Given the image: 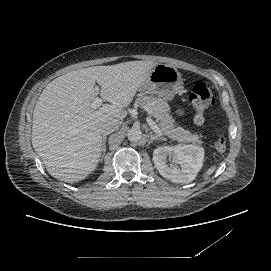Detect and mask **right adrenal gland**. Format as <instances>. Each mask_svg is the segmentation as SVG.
I'll return each mask as SVG.
<instances>
[{
    "mask_svg": "<svg viewBox=\"0 0 271 271\" xmlns=\"http://www.w3.org/2000/svg\"><path fill=\"white\" fill-rule=\"evenodd\" d=\"M106 139H107V136H104L103 139H102V149H103V155H105V152H106Z\"/></svg>",
    "mask_w": 271,
    "mask_h": 271,
    "instance_id": "2a0ac1e0",
    "label": "right adrenal gland"
}]
</instances>
